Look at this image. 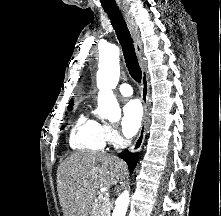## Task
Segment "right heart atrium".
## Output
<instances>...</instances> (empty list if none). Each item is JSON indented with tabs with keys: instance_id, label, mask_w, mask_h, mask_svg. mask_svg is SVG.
I'll list each match as a JSON object with an SVG mask.
<instances>
[{
	"instance_id": "right-heart-atrium-1",
	"label": "right heart atrium",
	"mask_w": 221,
	"mask_h": 216,
	"mask_svg": "<svg viewBox=\"0 0 221 216\" xmlns=\"http://www.w3.org/2000/svg\"><path fill=\"white\" fill-rule=\"evenodd\" d=\"M104 136H105L106 142L110 144H114L118 140L117 130L113 126L108 125V124L104 125Z\"/></svg>"
}]
</instances>
